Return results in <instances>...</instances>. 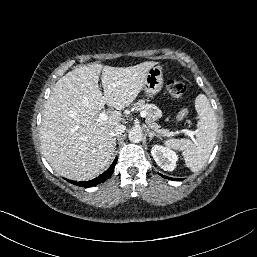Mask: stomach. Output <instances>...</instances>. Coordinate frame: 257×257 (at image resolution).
<instances>
[{"mask_svg": "<svg viewBox=\"0 0 257 257\" xmlns=\"http://www.w3.org/2000/svg\"><path fill=\"white\" fill-rule=\"evenodd\" d=\"M163 87V74L161 66H153L147 72L143 89L147 95L153 97L161 91Z\"/></svg>", "mask_w": 257, "mask_h": 257, "instance_id": "0dacf381", "label": "stomach"}]
</instances>
